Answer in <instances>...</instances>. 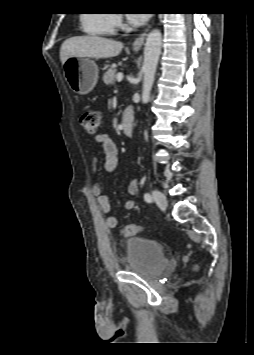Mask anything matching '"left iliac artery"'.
<instances>
[{
  "label": "left iliac artery",
  "mask_w": 254,
  "mask_h": 355,
  "mask_svg": "<svg viewBox=\"0 0 254 355\" xmlns=\"http://www.w3.org/2000/svg\"><path fill=\"white\" fill-rule=\"evenodd\" d=\"M144 199L146 202L150 203L152 201V197L149 193L144 194Z\"/></svg>",
  "instance_id": "44dca946"
}]
</instances>
